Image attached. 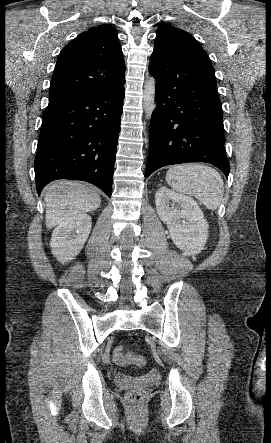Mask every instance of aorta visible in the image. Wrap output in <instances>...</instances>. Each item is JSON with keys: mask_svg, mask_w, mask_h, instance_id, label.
Listing matches in <instances>:
<instances>
[{"mask_svg": "<svg viewBox=\"0 0 271 443\" xmlns=\"http://www.w3.org/2000/svg\"><path fill=\"white\" fill-rule=\"evenodd\" d=\"M155 78H147L144 82L143 108L146 114V120H150L155 108Z\"/></svg>", "mask_w": 271, "mask_h": 443, "instance_id": "1", "label": "aorta"}]
</instances>
